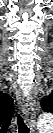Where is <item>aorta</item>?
Listing matches in <instances>:
<instances>
[{
    "instance_id": "762f6f07",
    "label": "aorta",
    "mask_w": 53,
    "mask_h": 133,
    "mask_svg": "<svg viewBox=\"0 0 53 133\" xmlns=\"http://www.w3.org/2000/svg\"><path fill=\"white\" fill-rule=\"evenodd\" d=\"M52 126V115L51 113H43L38 118L39 129H49Z\"/></svg>"
}]
</instances>
